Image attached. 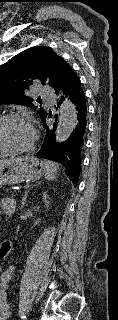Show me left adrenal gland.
<instances>
[{
  "mask_svg": "<svg viewBox=\"0 0 118 320\" xmlns=\"http://www.w3.org/2000/svg\"><path fill=\"white\" fill-rule=\"evenodd\" d=\"M39 184H40V183H38L37 185H34V186L28 188V189L24 192V195H23L22 200H21V204H22L21 207H22V208L24 207V205H25V203H26V199H27V196H28L29 191H30L31 189H33L35 186H38Z\"/></svg>",
  "mask_w": 118,
  "mask_h": 320,
  "instance_id": "left-adrenal-gland-1",
  "label": "left adrenal gland"
}]
</instances>
